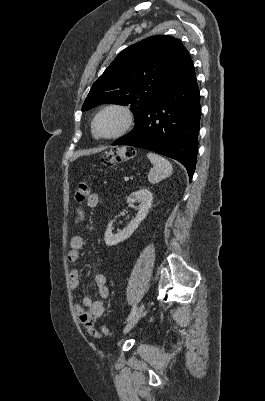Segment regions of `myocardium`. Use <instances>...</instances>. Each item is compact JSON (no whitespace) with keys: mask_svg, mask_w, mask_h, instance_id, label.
Returning a JSON list of instances; mask_svg holds the SVG:
<instances>
[{"mask_svg":"<svg viewBox=\"0 0 265 401\" xmlns=\"http://www.w3.org/2000/svg\"><path fill=\"white\" fill-rule=\"evenodd\" d=\"M111 111L118 112L121 115V119H122L121 125L118 128V130L115 133H113L112 135L100 136L95 131V124L101 115H103L107 112H111ZM132 119H133L132 111L127 106L121 105V104L106 105L94 115V117L91 121V126H90L91 134L97 140H111V139L117 138V137L121 136L129 128V126L132 123Z\"/></svg>","mask_w":265,"mask_h":401,"instance_id":"obj_1","label":"myocardium"}]
</instances>
